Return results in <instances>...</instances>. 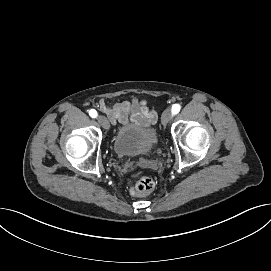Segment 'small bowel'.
Here are the masks:
<instances>
[{
  "label": "small bowel",
  "instance_id": "small-bowel-1",
  "mask_svg": "<svg viewBox=\"0 0 271 271\" xmlns=\"http://www.w3.org/2000/svg\"><path fill=\"white\" fill-rule=\"evenodd\" d=\"M99 109L113 124H125L129 121H134L142 126H150L157 119L156 113L149 109L145 100L134 102L125 100L115 104L101 100Z\"/></svg>",
  "mask_w": 271,
  "mask_h": 271
}]
</instances>
